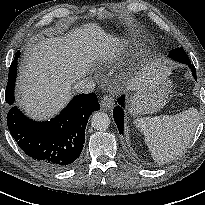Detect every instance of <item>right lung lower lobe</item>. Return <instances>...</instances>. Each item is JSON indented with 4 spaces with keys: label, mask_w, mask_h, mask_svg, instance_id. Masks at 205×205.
<instances>
[{
    "label": "right lung lower lobe",
    "mask_w": 205,
    "mask_h": 205,
    "mask_svg": "<svg viewBox=\"0 0 205 205\" xmlns=\"http://www.w3.org/2000/svg\"><path fill=\"white\" fill-rule=\"evenodd\" d=\"M99 109L95 93L80 94L46 122L32 121L16 106L11 107L7 125L19 147L40 167L64 170L77 162L84 147L89 116Z\"/></svg>",
    "instance_id": "98d812e1"
}]
</instances>
